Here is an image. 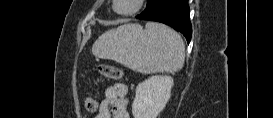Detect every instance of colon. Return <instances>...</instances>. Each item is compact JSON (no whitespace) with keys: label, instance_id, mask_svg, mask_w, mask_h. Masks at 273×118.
I'll return each instance as SVG.
<instances>
[{"label":"colon","instance_id":"1","mask_svg":"<svg viewBox=\"0 0 273 118\" xmlns=\"http://www.w3.org/2000/svg\"><path fill=\"white\" fill-rule=\"evenodd\" d=\"M99 73L106 78H112V79H121L123 77L122 71L110 64H100L98 66ZM85 107L88 112L94 113L97 111V103L95 100L92 99H86L85 101Z\"/></svg>","mask_w":273,"mask_h":118}]
</instances>
